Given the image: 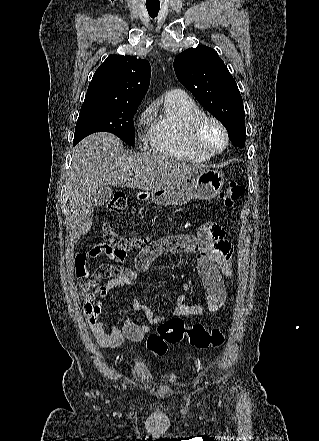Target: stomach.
<instances>
[{"instance_id": "stomach-1", "label": "stomach", "mask_w": 319, "mask_h": 441, "mask_svg": "<svg viewBox=\"0 0 319 441\" xmlns=\"http://www.w3.org/2000/svg\"><path fill=\"white\" fill-rule=\"evenodd\" d=\"M224 182L222 172L208 169L200 172L195 179H185L172 187L154 190L149 195L156 205H183L194 198L202 200L214 198L222 189Z\"/></svg>"}]
</instances>
